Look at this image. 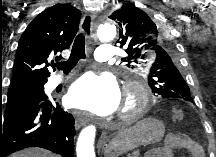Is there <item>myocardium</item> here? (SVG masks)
<instances>
[{
    "label": "myocardium",
    "instance_id": "1",
    "mask_svg": "<svg viewBox=\"0 0 216 157\" xmlns=\"http://www.w3.org/2000/svg\"><path fill=\"white\" fill-rule=\"evenodd\" d=\"M149 103L148 92L141 83L128 84L124 93V103L119 112V118L131 123L138 119Z\"/></svg>",
    "mask_w": 216,
    "mask_h": 157
}]
</instances>
